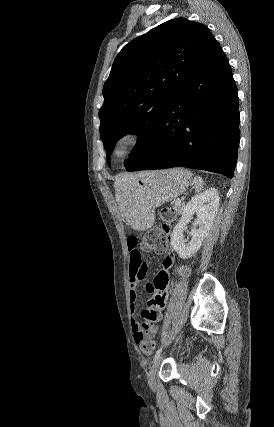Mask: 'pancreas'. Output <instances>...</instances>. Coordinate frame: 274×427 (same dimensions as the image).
Wrapping results in <instances>:
<instances>
[{
  "label": "pancreas",
  "instance_id": "cf45deb5",
  "mask_svg": "<svg viewBox=\"0 0 274 427\" xmlns=\"http://www.w3.org/2000/svg\"><path fill=\"white\" fill-rule=\"evenodd\" d=\"M184 208V204H174L173 210L176 212V215L181 214L182 210Z\"/></svg>",
  "mask_w": 274,
  "mask_h": 427
}]
</instances>
